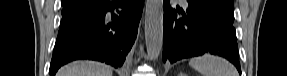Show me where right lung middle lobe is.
Masks as SVG:
<instances>
[{
    "mask_svg": "<svg viewBox=\"0 0 287 76\" xmlns=\"http://www.w3.org/2000/svg\"><path fill=\"white\" fill-rule=\"evenodd\" d=\"M87 2H88V0H65V1H62V6H63L62 16H66V15L80 9L81 7L86 5Z\"/></svg>",
    "mask_w": 287,
    "mask_h": 76,
    "instance_id": "1",
    "label": "right lung middle lobe"
}]
</instances>
